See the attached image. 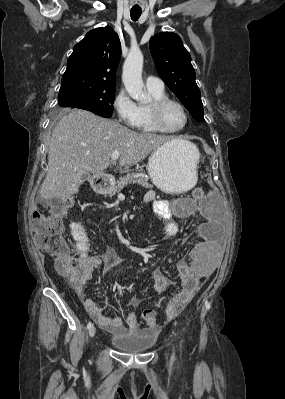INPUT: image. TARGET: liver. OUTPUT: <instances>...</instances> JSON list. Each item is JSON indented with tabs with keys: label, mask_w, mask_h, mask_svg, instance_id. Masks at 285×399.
Segmentation results:
<instances>
[{
	"label": "liver",
	"mask_w": 285,
	"mask_h": 399,
	"mask_svg": "<svg viewBox=\"0 0 285 399\" xmlns=\"http://www.w3.org/2000/svg\"><path fill=\"white\" fill-rule=\"evenodd\" d=\"M169 141L174 140L135 132L88 111L72 110L61 118L52 132L48 171L40 197L67 200L78 193L83 175H102L112 162L113 152L121 156L119 165L128 168Z\"/></svg>",
	"instance_id": "6515ba94"
}]
</instances>
